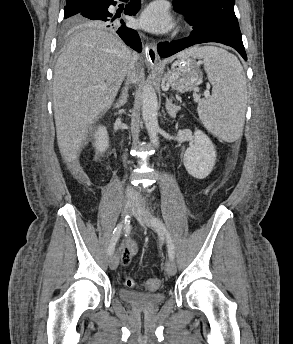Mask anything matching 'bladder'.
Segmentation results:
<instances>
[{
	"instance_id": "obj_1",
	"label": "bladder",
	"mask_w": 293,
	"mask_h": 344,
	"mask_svg": "<svg viewBox=\"0 0 293 344\" xmlns=\"http://www.w3.org/2000/svg\"><path fill=\"white\" fill-rule=\"evenodd\" d=\"M119 296L126 303L148 310L158 307L165 299L163 293H144L127 288H121Z\"/></svg>"
}]
</instances>
